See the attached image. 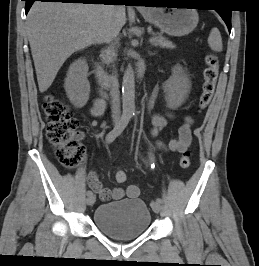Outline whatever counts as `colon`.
<instances>
[{
	"instance_id": "colon-1",
	"label": "colon",
	"mask_w": 259,
	"mask_h": 266,
	"mask_svg": "<svg viewBox=\"0 0 259 266\" xmlns=\"http://www.w3.org/2000/svg\"><path fill=\"white\" fill-rule=\"evenodd\" d=\"M206 68L203 72L202 92L199 97V109L204 110L211 102L218 78V59L213 53L205 57ZM43 112L46 121V136L55 150L56 157L65 168L73 169L84 159L83 134L78 130V120L72 115L68 105L62 100L47 95L44 98ZM189 152L182 153L179 164L182 168L190 166ZM118 183L127 179L124 171L115 174Z\"/></svg>"
}]
</instances>
